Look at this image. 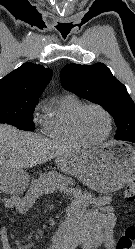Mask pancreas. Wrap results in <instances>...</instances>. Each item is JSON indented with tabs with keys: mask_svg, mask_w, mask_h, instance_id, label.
Here are the masks:
<instances>
[{
	"mask_svg": "<svg viewBox=\"0 0 135 249\" xmlns=\"http://www.w3.org/2000/svg\"><path fill=\"white\" fill-rule=\"evenodd\" d=\"M66 187L63 186L60 190H63L65 189ZM68 192L70 194H73L75 196H77L78 199H82L83 196H84V192L81 190V189H78V188H67Z\"/></svg>",
	"mask_w": 135,
	"mask_h": 249,
	"instance_id": "obj_1",
	"label": "pancreas"
}]
</instances>
